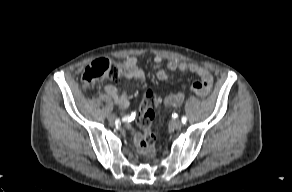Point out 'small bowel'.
I'll list each match as a JSON object with an SVG mask.
<instances>
[{
    "instance_id": "small-bowel-1",
    "label": "small bowel",
    "mask_w": 292,
    "mask_h": 192,
    "mask_svg": "<svg viewBox=\"0 0 292 192\" xmlns=\"http://www.w3.org/2000/svg\"><path fill=\"white\" fill-rule=\"evenodd\" d=\"M162 62V58L160 56L154 57V63L160 64ZM122 65L125 67L127 72V77H131L136 79L143 87H145V73L140 68L138 59L136 57H128L123 62ZM174 71H189L197 74L200 77V82H194L191 85V90L197 95L203 97L205 96L211 89L213 78L208 69L196 65L189 64L185 62H177L175 60H170L166 63L165 68L160 69L157 72V78L160 81H164L168 78V72ZM104 92L110 95L119 106L120 109H126L129 106L128 94L129 90L119 91L115 86L107 84L103 88ZM184 100L183 93L179 92L176 94L168 95L163 103L166 105L172 106H180ZM168 122V117L166 115H161L159 117V123L157 124V129L159 131H164L166 129V123ZM136 142L141 145V137L137 134L134 135ZM156 141H160L162 136L160 134H156L154 136Z\"/></svg>"
}]
</instances>
